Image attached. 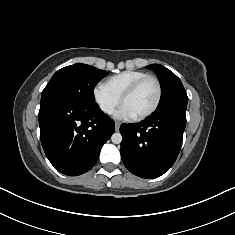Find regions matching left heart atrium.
Listing matches in <instances>:
<instances>
[{
    "label": "left heart atrium",
    "mask_w": 235,
    "mask_h": 235,
    "mask_svg": "<svg viewBox=\"0 0 235 235\" xmlns=\"http://www.w3.org/2000/svg\"><path fill=\"white\" fill-rule=\"evenodd\" d=\"M116 117L119 119L129 120L135 118V115L125 105H122L117 111Z\"/></svg>",
    "instance_id": "obj_1"
}]
</instances>
